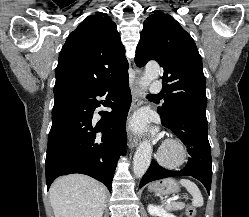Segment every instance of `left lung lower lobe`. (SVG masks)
<instances>
[{
  "instance_id": "obj_1",
  "label": "left lung lower lobe",
  "mask_w": 249,
  "mask_h": 217,
  "mask_svg": "<svg viewBox=\"0 0 249 217\" xmlns=\"http://www.w3.org/2000/svg\"><path fill=\"white\" fill-rule=\"evenodd\" d=\"M162 124L171 129L186 144L189 161L181 171H169L155 160L143 176L140 187L167 177L192 176L203 183L208 193L212 180L211 148L207 137L208 124L206 112L194 108H180L173 112L170 120L162 119Z\"/></svg>"
}]
</instances>
